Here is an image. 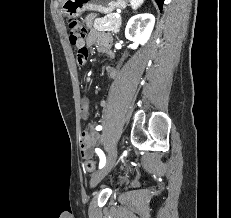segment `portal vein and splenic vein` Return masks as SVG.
Instances as JSON below:
<instances>
[{
    "mask_svg": "<svg viewBox=\"0 0 231 218\" xmlns=\"http://www.w3.org/2000/svg\"><path fill=\"white\" fill-rule=\"evenodd\" d=\"M115 17H116V18H120V15H119V14H115Z\"/></svg>",
    "mask_w": 231,
    "mask_h": 218,
    "instance_id": "portal-vein-and-splenic-vein-1",
    "label": "portal vein and splenic vein"
}]
</instances>
